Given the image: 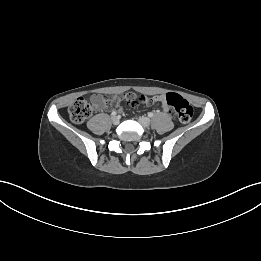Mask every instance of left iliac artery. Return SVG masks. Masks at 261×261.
Instances as JSON below:
<instances>
[{
    "label": "left iliac artery",
    "mask_w": 261,
    "mask_h": 261,
    "mask_svg": "<svg viewBox=\"0 0 261 261\" xmlns=\"http://www.w3.org/2000/svg\"><path fill=\"white\" fill-rule=\"evenodd\" d=\"M153 113L152 112H150V113H148V116L151 118V117H153Z\"/></svg>",
    "instance_id": "obj_1"
}]
</instances>
